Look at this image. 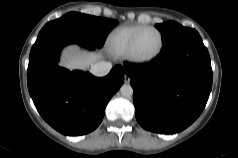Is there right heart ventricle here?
<instances>
[{
  "label": "right heart ventricle",
  "instance_id": "1",
  "mask_svg": "<svg viewBox=\"0 0 238 158\" xmlns=\"http://www.w3.org/2000/svg\"><path fill=\"white\" fill-rule=\"evenodd\" d=\"M143 27L145 26L127 25L115 29L107 39L108 50L117 56H125L133 36Z\"/></svg>",
  "mask_w": 238,
  "mask_h": 158
}]
</instances>
